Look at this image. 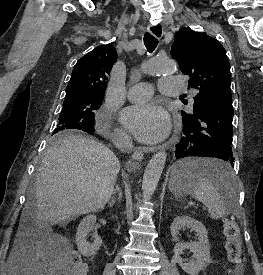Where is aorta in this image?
Returning a JSON list of instances; mask_svg holds the SVG:
<instances>
[{
  "label": "aorta",
  "mask_w": 263,
  "mask_h": 275,
  "mask_svg": "<svg viewBox=\"0 0 263 275\" xmlns=\"http://www.w3.org/2000/svg\"><path fill=\"white\" fill-rule=\"evenodd\" d=\"M175 69V62L169 59H153L144 67V71L149 74L172 73ZM166 158V152L160 151L147 164L142 181V196L144 200L149 199L154 193L164 169Z\"/></svg>",
  "instance_id": "1"
}]
</instances>
